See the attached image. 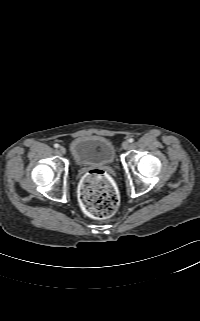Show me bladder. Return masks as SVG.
Instances as JSON below:
<instances>
[{
    "label": "bladder",
    "instance_id": "bladder-1",
    "mask_svg": "<svg viewBox=\"0 0 200 321\" xmlns=\"http://www.w3.org/2000/svg\"><path fill=\"white\" fill-rule=\"evenodd\" d=\"M70 154L78 165H109L116 158V149L111 140L102 136L75 138L69 146Z\"/></svg>",
    "mask_w": 200,
    "mask_h": 321
}]
</instances>
